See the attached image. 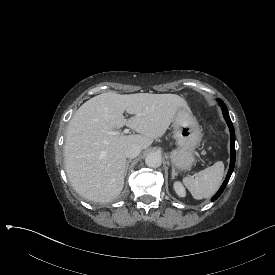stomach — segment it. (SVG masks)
Returning a JSON list of instances; mask_svg holds the SVG:
<instances>
[{
    "label": "stomach",
    "instance_id": "stomach-1",
    "mask_svg": "<svg viewBox=\"0 0 275 275\" xmlns=\"http://www.w3.org/2000/svg\"><path fill=\"white\" fill-rule=\"evenodd\" d=\"M173 129L177 148L170 154L171 164L189 170L195 161L194 149L202 139L201 128L190 109L179 107L173 117Z\"/></svg>",
    "mask_w": 275,
    "mask_h": 275
}]
</instances>
